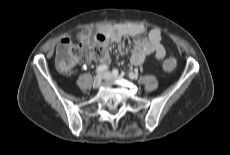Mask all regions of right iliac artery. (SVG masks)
Returning a JSON list of instances; mask_svg holds the SVG:
<instances>
[{"label": "right iliac artery", "instance_id": "82829eb1", "mask_svg": "<svg viewBox=\"0 0 230 155\" xmlns=\"http://www.w3.org/2000/svg\"><path fill=\"white\" fill-rule=\"evenodd\" d=\"M107 69H108V66L100 65L97 67L96 73L99 75V74L103 73L104 71H106Z\"/></svg>", "mask_w": 230, "mask_h": 155}]
</instances>
